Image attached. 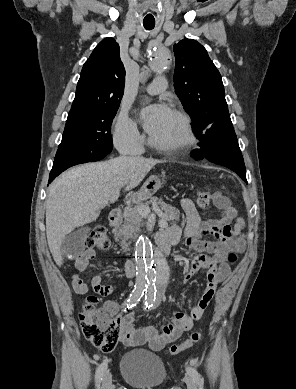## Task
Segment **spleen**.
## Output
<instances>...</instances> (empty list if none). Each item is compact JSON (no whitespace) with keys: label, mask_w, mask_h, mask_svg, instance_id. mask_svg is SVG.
<instances>
[{"label":"spleen","mask_w":296,"mask_h":389,"mask_svg":"<svg viewBox=\"0 0 296 389\" xmlns=\"http://www.w3.org/2000/svg\"><path fill=\"white\" fill-rule=\"evenodd\" d=\"M235 230L238 232V229H237V227H235Z\"/></svg>","instance_id":"spleen-1"}]
</instances>
